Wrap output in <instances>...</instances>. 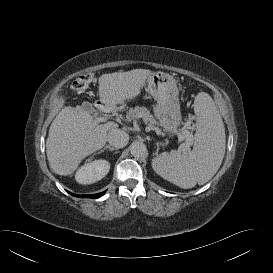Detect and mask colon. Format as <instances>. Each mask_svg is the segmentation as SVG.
Returning a JSON list of instances; mask_svg holds the SVG:
<instances>
[{
    "mask_svg": "<svg viewBox=\"0 0 273 273\" xmlns=\"http://www.w3.org/2000/svg\"><path fill=\"white\" fill-rule=\"evenodd\" d=\"M94 74L93 73H87L83 76L78 77L72 84V89L77 92L81 93L84 92L91 82L93 81Z\"/></svg>",
    "mask_w": 273,
    "mask_h": 273,
    "instance_id": "5ec220e1",
    "label": "colon"
}]
</instances>
